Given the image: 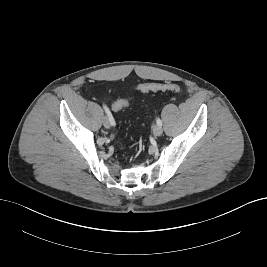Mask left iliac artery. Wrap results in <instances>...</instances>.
<instances>
[{"instance_id":"obj_1","label":"left iliac artery","mask_w":267,"mask_h":267,"mask_svg":"<svg viewBox=\"0 0 267 267\" xmlns=\"http://www.w3.org/2000/svg\"><path fill=\"white\" fill-rule=\"evenodd\" d=\"M156 123L157 125L162 126V121L159 118L156 119Z\"/></svg>"}]
</instances>
